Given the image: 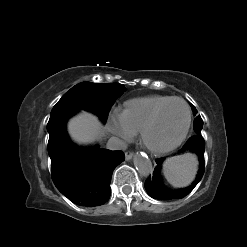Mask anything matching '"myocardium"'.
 <instances>
[{"instance_id": "myocardium-1", "label": "myocardium", "mask_w": 247, "mask_h": 247, "mask_svg": "<svg viewBox=\"0 0 247 247\" xmlns=\"http://www.w3.org/2000/svg\"><path fill=\"white\" fill-rule=\"evenodd\" d=\"M175 101L182 102L185 105V108L187 111V120H186L184 130H183L182 134L172 143H169L167 145H160V146L153 145L152 143H150L148 141V138H147L148 132L152 128V126L155 124V122L157 121L159 115L164 110V108L166 106H168L170 103L175 102ZM191 121H192V112H191V108H190L189 104L183 98L172 97V98L168 99L167 101L163 102L162 104H160L154 110V112L151 114V116L148 118V120L145 122V124L142 126V128L140 130L141 142L149 151H151L153 153L161 154V153L169 152V151L177 148L185 140V138L187 137L189 130H190Z\"/></svg>"}]
</instances>
